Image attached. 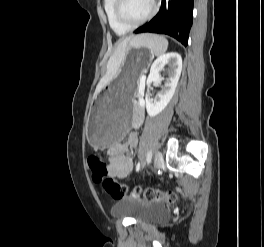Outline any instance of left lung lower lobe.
<instances>
[{
	"mask_svg": "<svg viewBox=\"0 0 264 247\" xmlns=\"http://www.w3.org/2000/svg\"><path fill=\"white\" fill-rule=\"evenodd\" d=\"M194 0H160L157 15L136 29L135 33L167 34L187 46L192 26Z\"/></svg>",
	"mask_w": 264,
	"mask_h": 247,
	"instance_id": "0a47b994",
	"label": "left lung lower lobe"
}]
</instances>
